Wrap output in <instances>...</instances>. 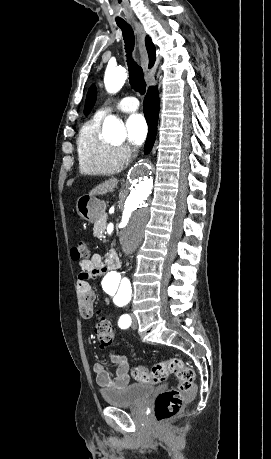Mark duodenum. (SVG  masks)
<instances>
[{"instance_id": "1", "label": "duodenum", "mask_w": 271, "mask_h": 459, "mask_svg": "<svg viewBox=\"0 0 271 459\" xmlns=\"http://www.w3.org/2000/svg\"><path fill=\"white\" fill-rule=\"evenodd\" d=\"M108 264H109V268L112 270L118 269L120 267V262L115 256H112L109 259Z\"/></svg>"}]
</instances>
